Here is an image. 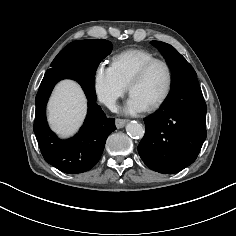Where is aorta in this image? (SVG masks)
Here are the masks:
<instances>
[{
  "mask_svg": "<svg viewBox=\"0 0 236 236\" xmlns=\"http://www.w3.org/2000/svg\"><path fill=\"white\" fill-rule=\"evenodd\" d=\"M126 131L129 136L133 138H142L144 136L145 130L142 124L137 122H130L126 126Z\"/></svg>",
  "mask_w": 236,
  "mask_h": 236,
  "instance_id": "1",
  "label": "aorta"
}]
</instances>
